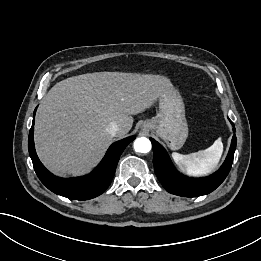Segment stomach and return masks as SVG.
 Masks as SVG:
<instances>
[{
    "mask_svg": "<svg viewBox=\"0 0 261 261\" xmlns=\"http://www.w3.org/2000/svg\"><path fill=\"white\" fill-rule=\"evenodd\" d=\"M143 130H151L160 136L172 150L183 146L188 137L183 100L178 91L172 89L159 97V111L152 119L142 123Z\"/></svg>",
    "mask_w": 261,
    "mask_h": 261,
    "instance_id": "1",
    "label": "stomach"
}]
</instances>
